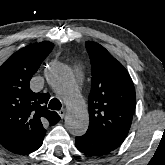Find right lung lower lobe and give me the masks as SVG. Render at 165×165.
I'll return each mask as SVG.
<instances>
[{
	"label": "right lung lower lobe",
	"instance_id": "1",
	"mask_svg": "<svg viewBox=\"0 0 165 165\" xmlns=\"http://www.w3.org/2000/svg\"><path fill=\"white\" fill-rule=\"evenodd\" d=\"M43 138L19 154H27V153H31V152L37 150L42 145Z\"/></svg>",
	"mask_w": 165,
	"mask_h": 165
}]
</instances>
